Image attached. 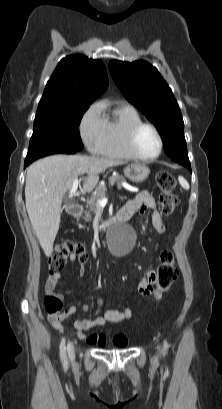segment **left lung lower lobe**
Listing matches in <instances>:
<instances>
[{
  "mask_svg": "<svg viewBox=\"0 0 222 409\" xmlns=\"http://www.w3.org/2000/svg\"><path fill=\"white\" fill-rule=\"evenodd\" d=\"M179 164L185 166L186 168H188L191 171V166H190V162L189 161H182Z\"/></svg>",
  "mask_w": 222,
  "mask_h": 409,
  "instance_id": "left-lung-lower-lobe-1",
  "label": "left lung lower lobe"
}]
</instances>
